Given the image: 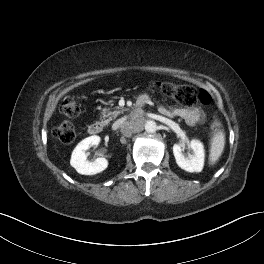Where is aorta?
<instances>
[{"label":"aorta","mask_w":264,"mask_h":264,"mask_svg":"<svg viewBox=\"0 0 264 264\" xmlns=\"http://www.w3.org/2000/svg\"><path fill=\"white\" fill-rule=\"evenodd\" d=\"M144 127H145V131H146L147 133H154V132L157 131V124H156V122L153 121V120H148V121H146Z\"/></svg>","instance_id":"1"}]
</instances>
